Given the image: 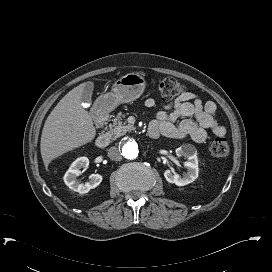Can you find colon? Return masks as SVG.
I'll return each mask as SVG.
<instances>
[{"instance_id": "1", "label": "colon", "mask_w": 272, "mask_h": 272, "mask_svg": "<svg viewBox=\"0 0 272 272\" xmlns=\"http://www.w3.org/2000/svg\"><path fill=\"white\" fill-rule=\"evenodd\" d=\"M158 93L162 100L170 102L180 97L184 91V86L171 77L159 78L154 81ZM212 156L222 158L229 153V143L225 137H215L209 147Z\"/></svg>"}]
</instances>
